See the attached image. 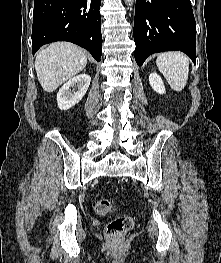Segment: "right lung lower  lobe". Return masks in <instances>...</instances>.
Wrapping results in <instances>:
<instances>
[{
	"instance_id": "right-lung-lower-lobe-1",
	"label": "right lung lower lobe",
	"mask_w": 221,
	"mask_h": 263,
	"mask_svg": "<svg viewBox=\"0 0 221 263\" xmlns=\"http://www.w3.org/2000/svg\"><path fill=\"white\" fill-rule=\"evenodd\" d=\"M101 0H35L32 27L33 54L44 44L69 41L102 55Z\"/></svg>"
}]
</instances>
